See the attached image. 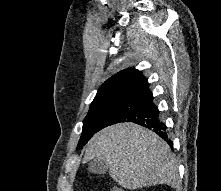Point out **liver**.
<instances>
[{"label": "liver", "instance_id": "obj_1", "mask_svg": "<svg viewBox=\"0 0 221 191\" xmlns=\"http://www.w3.org/2000/svg\"><path fill=\"white\" fill-rule=\"evenodd\" d=\"M103 160L114 181L134 190L178 185V167L168 144L154 132L126 122L102 129L88 142L83 162Z\"/></svg>", "mask_w": 221, "mask_h": 191}]
</instances>
